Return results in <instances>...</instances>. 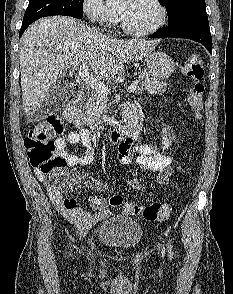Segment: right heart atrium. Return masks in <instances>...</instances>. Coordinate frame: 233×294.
I'll use <instances>...</instances> for the list:
<instances>
[{"instance_id":"d8ad5b80","label":"right heart atrium","mask_w":233,"mask_h":294,"mask_svg":"<svg viewBox=\"0 0 233 294\" xmlns=\"http://www.w3.org/2000/svg\"><path fill=\"white\" fill-rule=\"evenodd\" d=\"M82 9L88 20L95 25L111 27L118 21V13L104 0H83Z\"/></svg>"}]
</instances>
